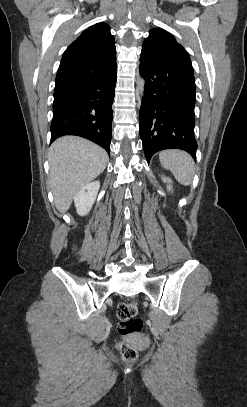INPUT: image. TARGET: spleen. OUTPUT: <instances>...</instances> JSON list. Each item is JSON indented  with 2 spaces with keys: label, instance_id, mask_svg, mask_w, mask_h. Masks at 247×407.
<instances>
[{
  "label": "spleen",
  "instance_id": "1",
  "mask_svg": "<svg viewBox=\"0 0 247 407\" xmlns=\"http://www.w3.org/2000/svg\"><path fill=\"white\" fill-rule=\"evenodd\" d=\"M159 160L180 184L188 186L192 183L195 164L188 153L176 149L165 150L160 152Z\"/></svg>",
  "mask_w": 247,
  "mask_h": 407
}]
</instances>
